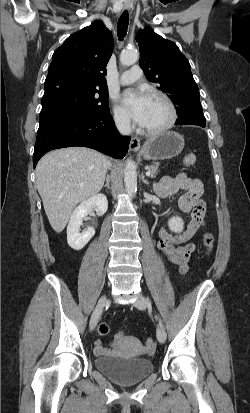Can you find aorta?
<instances>
[{
    "label": "aorta",
    "instance_id": "aorta-1",
    "mask_svg": "<svg viewBox=\"0 0 250 413\" xmlns=\"http://www.w3.org/2000/svg\"><path fill=\"white\" fill-rule=\"evenodd\" d=\"M139 58L137 50L130 49L124 50L120 54V63L124 66H130L137 62ZM124 183L127 193L130 196H134L137 191V173L134 162L127 160L124 169Z\"/></svg>",
    "mask_w": 250,
    "mask_h": 413
}]
</instances>
